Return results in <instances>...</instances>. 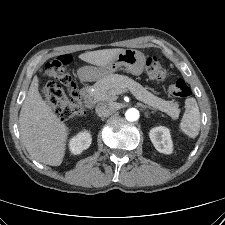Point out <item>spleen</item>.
<instances>
[{
	"mask_svg": "<svg viewBox=\"0 0 225 225\" xmlns=\"http://www.w3.org/2000/svg\"><path fill=\"white\" fill-rule=\"evenodd\" d=\"M201 125V115L195 98L185 101V112L179 124V129L191 138L198 136Z\"/></svg>",
	"mask_w": 225,
	"mask_h": 225,
	"instance_id": "obj_1",
	"label": "spleen"
}]
</instances>
